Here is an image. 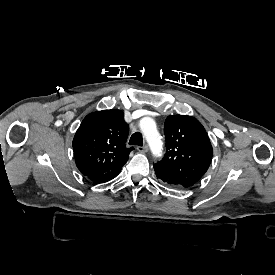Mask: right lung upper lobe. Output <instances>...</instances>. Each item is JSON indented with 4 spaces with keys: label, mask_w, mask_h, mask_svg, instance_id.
<instances>
[{
    "label": "right lung upper lobe",
    "mask_w": 275,
    "mask_h": 275,
    "mask_svg": "<svg viewBox=\"0 0 275 275\" xmlns=\"http://www.w3.org/2000/svg\"><path fill=\"white\" fill-rule=\"evenodd\" d=\"M129 127L118 109L88 114L73 139L75 162L85 175L120 172L133 147L125 143Z\"/></svg>",
    "instance_id": "1"
}]
</instances>
